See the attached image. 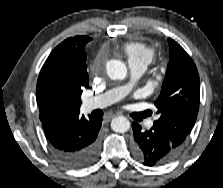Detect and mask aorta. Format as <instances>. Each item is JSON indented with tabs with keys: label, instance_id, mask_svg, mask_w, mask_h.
Instances as JSON below:
<instances>
[{
	"label": "aorta",
	"instance_id": "762f6f07",
	"mask_svg": "<svg viewBox=\"0 0 223 188\" xmlns=\"http://www.w3.org/2000/svg\"><path fill=\"white\" fill-rule=\"evenodd\" d=\"M106 71L112 80H122L127 75V68L120 60H110L107 62ZM111 128L118 133L127 132L130 128L129 120L124 116L115 117L111 122Z\"/></svg>",
	"mask_w": 223,
	"mask_h": 188
}]
</instances>
